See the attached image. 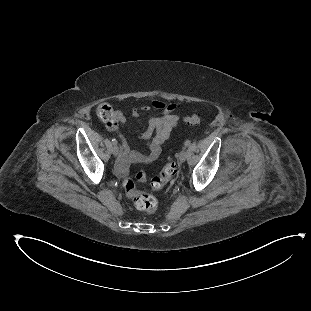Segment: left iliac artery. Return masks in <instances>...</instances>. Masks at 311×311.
I'll use <instances>...</instances> for the list:
<instances>
[{
	"label": "left iliac artery",
	"mask_w": 311,
	"mask_h": 311,
	"mask_svg": "<svg viewBox=\"0 0 311 311\" xmlns=\"http://www.w3.org/2000/svg\"><path fill=\"white\" fill-rule=\"evenodd\" d=\"M191 144V142L189 140L185 141V146H189Z\"/></svg>",
	"instance_id": "left-iliac-artery-1"
}]
</instances>
